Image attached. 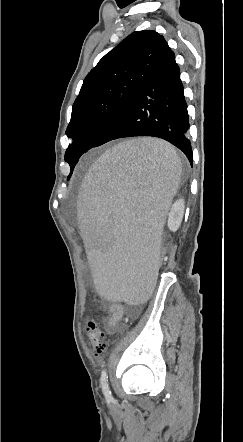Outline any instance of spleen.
Returning <instances> with one entry per match:
<instances>
[{
	"instance_id": "spleen-1",
	"label": "spleen",
	"mask_w": 243,
	"mask_h": 442,
	"mask_svg": "<svg viewBox=\"0 0 243 442\" xmlns=\"http://www.w3.org/2000/svg\"><path fill=\"white\" fill-rule=\"evenodd\" d=\"M181 175L171 145L141 138L107 151L79 184L76 224L83 226L80 240L92 265L94 291L107 302L143 307L151 296L162 227Z\"/></svg>"
}]
</instances>
